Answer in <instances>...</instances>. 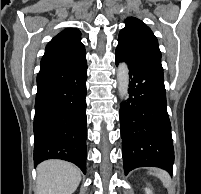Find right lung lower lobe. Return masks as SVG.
<instances>
[{
    "mask_svg": "<svg viewBox=\"0 0 201 194\" xmlns=\"http://www.w3.org/2000/svg\"><path fill=\"white\" fill-rule=\"evenodd\" d=\"M87 63L37 75L34 163L63 159L86 173Z\"/></svg>",
    "mask_w": 201,
    "mask_h": 194,
    "instance_id": "1",
    "label": "right lung lower lobe"
}]
</instances>
